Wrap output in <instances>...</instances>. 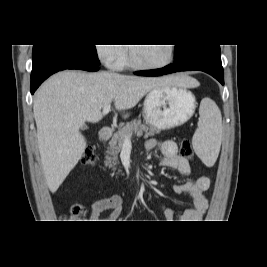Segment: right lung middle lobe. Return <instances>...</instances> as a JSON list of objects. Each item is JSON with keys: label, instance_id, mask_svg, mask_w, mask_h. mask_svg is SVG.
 <instances>
[{"label": "right lung middle lobe", "instance_id": "dd1d6c3e", "mask_svg": "<svg viewBox=\"0 0 267 267\" xmlns=\"http://www.w3.org/2000/svg\"><path fill=\"white\" fill-rule=\"evenodd\" d=\"M67 46L85 55L90 60L94 61L95 63L97 64L100 63L97 57L95 45L76 44V45H67Z\"/></svg>", "mask_w": 267, "mask_h": 267}]
</instances>
